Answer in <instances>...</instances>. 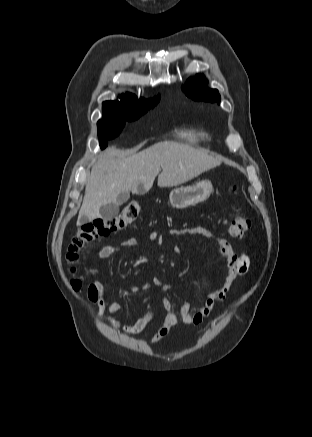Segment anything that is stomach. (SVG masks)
<instances>
[{
    "label": "stomach",
    "mask_w": 312,
    "mask_h": 437,
    "mask_svg": "<svg viewBox=\"0 0 312 437\" xmlns=\"http://www.w3.org/2000/svg\"><path fill=\"white\" fill-rule=\"evenodd\" d=\"M212 192V183L209 180H204L190 186L173 189L169 194V202L173 208L185 209L204 202Z\"/></svg>",
    "instance_id": "stomach-1"
}]
</instances>
